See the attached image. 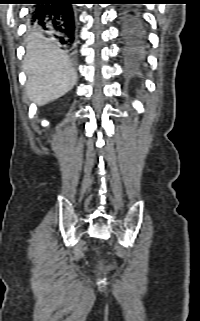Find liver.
<instances>
[{"label": "liver", "mask_w": 200, "mask_h": 321, "mask_svg": "<svg viewBox=\"0 0 200 321\" xmlns=\"http://www.w3.org/2000/svg\"><path fill=\"white\" fill-rule=\"evenodd\" d=\"M23 69L27 75L26 92L31 101L42 106L68 91L77 81L70 59L52 41L41 34L28 38Z\"/></svg>", "instance_id": "liver-1"}]
</instances>
